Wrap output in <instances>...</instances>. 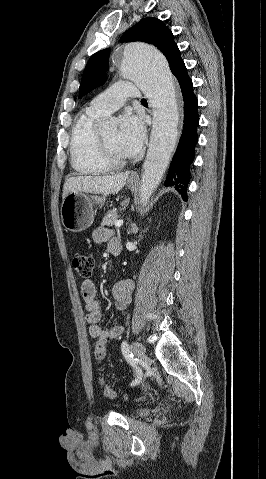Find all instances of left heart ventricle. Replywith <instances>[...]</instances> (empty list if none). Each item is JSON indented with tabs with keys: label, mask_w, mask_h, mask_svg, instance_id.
Listing matches in <instances>:
<instances>
[{
	"label": "left heart ventricle",
	"mask_w": 266,
	"mask_h": 479,
	"mask_svg": "<svg viewBox=\"0 0 266 479\" xmlns=\"http://www.w3.org/2000/svg\"><path fill=\"white\" fill-rule=\"evenodd\" d=\"M101 135L116 156L121 158L126 157L120 149V146L118 143V131L116 128L106 130L102 132Z\"/></svg>",
	"instance_id": "1"
}]
</instances>
